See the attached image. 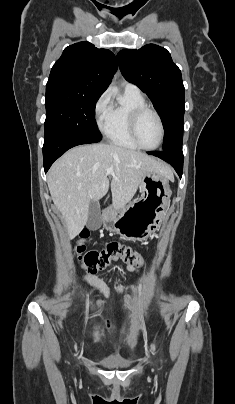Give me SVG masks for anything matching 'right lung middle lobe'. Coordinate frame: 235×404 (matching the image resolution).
<instances>
[{
	"instance_id": "1",
	"label": "right lung middle lobe",
	"mask_w": 235,
	"mask_h": 404,
	"mask_svg": "<svg viewBox=\"0 0 235 404\" xmlns=\"http://www.w3.org/2000/svg\"><path fill=\"white\" fill-rule=\"evenodd\" d=\"M99 97L60 87L46 88L45 138L74 133L99 142L102 137L95 121V107Z\"/></svg>"
}]
</instances>
